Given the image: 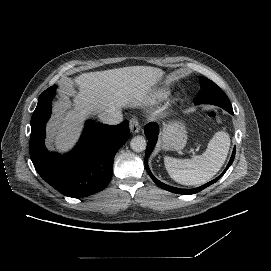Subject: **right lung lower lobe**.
Listing matches in <instances>:
<instances>
[{"instance_id": "98d812e1", "label": "right lung lower lobe", "mask_w": 271, "mask_h": 271, "mask_svg": "<svg viewBox=\"0 0 271 271\" xmlns=\"http://www.w3.org/2000/svg\"><path fill=\"white\" fill-rule=\"evenodd\" d=\"M54 95L55 90H45L31 118L29 150L33 165L42 179L65 196L80 198L102 191L111 180L116 152L128 140L129 123L126 120L110 126L87 121L72 152L50 153L44 138Z\"/></svg>"}]
</instances>
